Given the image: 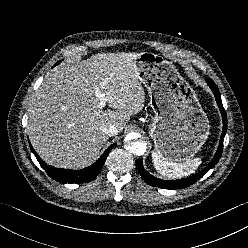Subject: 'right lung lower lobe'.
I'll return each instance as SVG.
<instances>
[{
	"instance_id": "obj_1",
	"label": "right lung lower lobe",
	"mask_w": 248,
	"mask_h": 248,
	"mask_svg": "<svg viewBox=\"0 0 248 248\" xmlns=\"http://www.w3.org/2000/svg\"><path fill=\"white\" fill-rule=\"evenodd\" d=\"M114 147V144L110 145L107 150L102 154V156L91 166L81 169V170H69V169H60L54 168L47 165L34 151L33 147L30 144V148L37 158L38 162L42 168L47 172V174L54 180L61 183H86L90 182L98 175L102 166L104 165L108 154L111 149Z\"/></svg>"
}]
</instances>
